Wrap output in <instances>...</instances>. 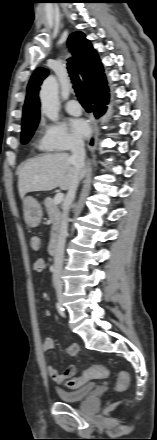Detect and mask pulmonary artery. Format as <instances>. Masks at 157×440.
Instances as JSON below:
<instances>
[{
  "label": "pulmonary artery",
  "instance_id": "1",
  "mask_svg": "<svg viewBox=\"0 0 157 440\" xmlns=\"http://www.w3.org/2000/svg\"><path fill=\"white\" fill-rule=\"evenodd\" d=\"M65 109L69 114L79 115L81 113V106L79 102L75 100H70L66 103Z\"/></svg>",
  "mask_w": 157,
  "mask_h": 440
}]
</instances>
